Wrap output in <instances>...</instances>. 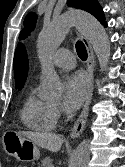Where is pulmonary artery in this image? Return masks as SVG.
<instances>
[{
	"label": "pulmonary artery",
	"instance_id": "obj_1",
	"mask_svg": "<svg viewBox=\"0 0 125 167\" xmlns=\"http://www.w3.org/2000/svg\"><path fill=\"white\" fill-rule=\"evenodd\" d=\"M52 64L58 68L72 69L74 67V56L69 50L60 49L54 54Z\"/></svg>",
	"mask_w": 125,
	"mask_h": 167
}]
</instances>
